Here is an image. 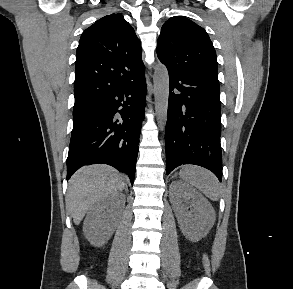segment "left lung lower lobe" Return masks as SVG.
<instances>
[{"instance_id": "obj_1", "label": "left lung lower lobe", "mask_w": 293, "mask_h": 289, "mask_svg": "<svg viewBox=\"0 0 293 289\" xmlns=\"http://www.w3.org/2000/svg\"><path fill=\"white\" fill-rule=\"evenodd\" d=\"M220 113L219 84L169 72L167 174L182 164H195L211 170L221 181Z\"/></svg>"}]
</instances>
